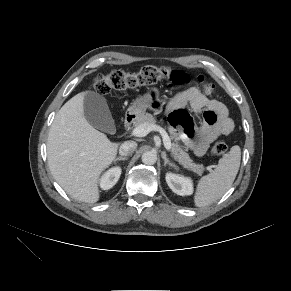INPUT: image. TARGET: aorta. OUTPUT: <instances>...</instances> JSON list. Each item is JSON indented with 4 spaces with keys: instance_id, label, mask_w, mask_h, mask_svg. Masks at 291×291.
I'll return each mask as SVG.
<instances>
[{
    "instance_id": "1",
    "label": "aorta",
    "mask_w": 291,
    "mask_h": 291,
    "mask_svg": "<svg viewBox=\"0 0 291 291\" xmlns=\"http://www.w3.org/2000/svg\"><path fill=\"white\" fill-rule=\"evenodd\" d=\"M157 155L152 151H146L142 154V162L146 165H153L156 163Z\"/></svg>"
}]
</instances>
